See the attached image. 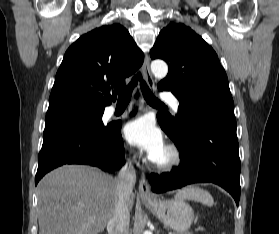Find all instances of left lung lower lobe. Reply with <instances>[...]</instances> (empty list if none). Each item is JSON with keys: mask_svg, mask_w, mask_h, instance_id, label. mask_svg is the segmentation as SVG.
Here are the masks:
<instances>
[{"mask_svg": "<svg viewBox=\"0 0 279 234\" xmlns=\"http://www.w3.org/2000/svg\"><path fill=\"white\" fill-rule=\"evenodd\" d=\"M183 116L180 142L163 129L179 149L180 165L172 172L151 174L152 191L162 193L191 183L212 182L227 190L238 205L241 164L235 116L196 110H187Z\"/></svg>", "mask_w": 279, "mask_h": 234, "instance_id": "0a47b994", "label": "left lung lower lobe"}]
</instances>
